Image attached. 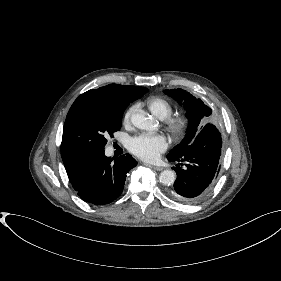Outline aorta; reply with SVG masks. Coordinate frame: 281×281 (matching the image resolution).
I'll return each instance as SVG.
<instances>
[{"instance_id":"762f6f07","label":"aorta","mask_w":281,"mask_h":281,"mask_svg":"<svg viewBox=\"0 0 281 281\" xmlns=\"http://www.w3.org/2000/svg\"><path fill=\"white\" fill-rule=\"evenodd\" d=\"M132 124L143 130H149L153 127V119L144 112H138L131 117ZM160 182L163 185H172L176 180V175L172 170H164L159 175Z\"/></svg>"}]
</instances>
